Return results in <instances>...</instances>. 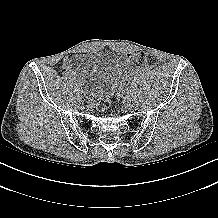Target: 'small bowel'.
<instances>
[{
  "label": "small bowel",
  "mask_w": 218,
  "mask_h": 218,
  "mask_svg": "<svg viewBox=\"0 0 218 218\" xmlns=\"http://www.w3.org/2000/svg\"><path fill=\"white\" fill-rule=\"evenodd\" d=\"M62 68L70 73V74H73V70H72V58L70 57H67L64 59L63 63H62Z\"/></svg>",
  "instance_id": "c3829d8e"
}]
</instances>
